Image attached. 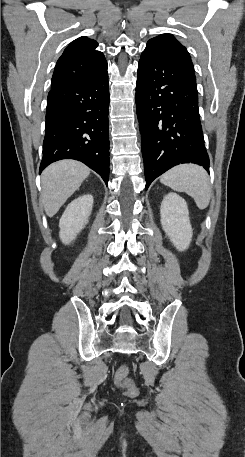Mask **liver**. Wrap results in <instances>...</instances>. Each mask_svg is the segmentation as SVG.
Segmentation results:
<instances>
[{
	"mask_svg": "<svg viewBox=\"0 0 245 457\" xmlns=\"http://www.w3.org/2000/svg\"><path fill=\"white\" fill-rule=\"evenodd\" d=\"M90 168L78 160H58L49 164L41 176V202L48 216H53L65 200L79 188Z\"/></svg>",
	"mask_w": 245,
	"mask_h": 457,
	"instance_id": "1",
	"label": "liver"
}]
</instances>
